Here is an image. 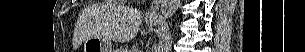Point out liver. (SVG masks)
I'll return each instance as SVG.
<instances>
[{
	"instance_id": "obj_1",
	"label": "liver",
	"mask_w": 305,
	"mask_h": 52,
	"mask_svg": "<svg viewBox=\"0 0 305 52\" xmlns=\"http://www.w3.org/2000/svg\"><path fill=\"white\" fill-rule=\"evenodd\" d=\"M110 18L102 29H92L88 26V31L74 42L75 47L87 38L101 37L107 40L124 43L136 37L142 23V13L136 9L123 5H110ZM87 27V26H86ZM90 28V29H89Z\"/></svg>"
}]
</instances>
